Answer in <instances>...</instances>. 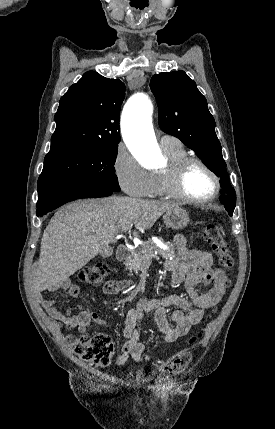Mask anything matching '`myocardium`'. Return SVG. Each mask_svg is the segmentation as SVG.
<instances>
[{
	"label": "myocardium",
	"instance_id": "f54148a6",
	"mask_svg": "<svg viewBox=\"0 0 275 429\" xmlns=\"http://www.w3.org/2000/svg\"><path fill=\"white\" fill-rule=\"evenodd\" d=\"M200 165L212 177L214 181V191L208 198L198 200L188 196L182 188V182L186 171L192 165ZM165 179L166 189L168 194L180 201L192 205H206L213 202L219 195L221 190L220 178L217 173L201 158L195 156H185L169 164L162 170Z\"/></svg>",
	"mask_w": 275,
	"mask_h": 429
}]
</instances>
